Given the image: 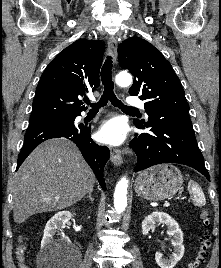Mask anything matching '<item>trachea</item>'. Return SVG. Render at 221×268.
Listing matches in <instances>:
<instances>
[{"label": "trachea", "mask_w": 221, "mask_h": 268, "mask_svg": "<svg viewBox=\"0 0 221 268\" xmlns=\"http://www.w3.org/2000/svg\"><path fill=\"white\" fill-rule=\"evenodd\" d=\"M111 70H112V57L108 56L101 69V81L104 86L103 95L101 96L98 103H90L89 100H85V103L90 105L92 109H99L105 106L108 103V101H110L112 105L118 107L123 111L128 112L137 111L136 108L126 106L120 100L117 99L114 93V83L112 81Z\"/></svg>", "instance_id": "trachea-1"}]
</instances>
